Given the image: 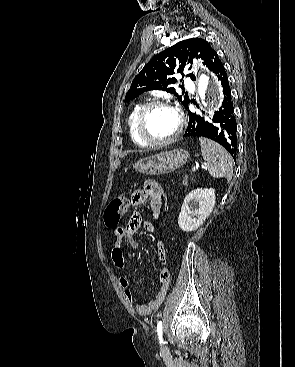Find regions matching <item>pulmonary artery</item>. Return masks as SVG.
<instances>
[{
	"instance_id": "1",
	"label": "pulmonary artery",
	"mask_w": 295,
	"mask_h": 367,
	"mask_svg": "<svg viewBox=\"0 0 295 367\" xmlns=\"http://www.w3.org/2000/svg\"><path fill=\"white\" fill-rule=\"evenodd\" d=\"M184 85H185V87H186L187 89H190V90H192V89L194 88V85H193L192 81H191V80H189V79H186V80L184 81Z\"/></svg>"
}]
</instances>
